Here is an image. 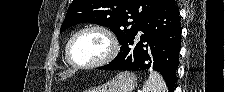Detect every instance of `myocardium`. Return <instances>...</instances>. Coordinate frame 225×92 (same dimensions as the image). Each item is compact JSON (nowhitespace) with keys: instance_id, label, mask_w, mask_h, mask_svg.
Returning a JSON list of instances; mask_svg holds the SVG:
<instances>
[{"instance_id":"obj_1","label":"myocardium","mask_w":225,"mask_h":92,"mask_svg":"<svg viewBox=\"0 0 225 92\" xmlns=\"http://www.w3.org/2000/svg\"><path fill=\"white\" fill-rule=\"evenodd\" d=\"M88 31H96V32L103 34L108 41L109 51L104 58H102L96 62L89 63V64H79V63L75 62L71 57V46H72L74 40L79 35H81L85 32H88ZM118 50H119V46H118L117 39H116L114 33L109 28H107L105 26H101V25H89V26L81 28L80 30L75 32L70 37L69 41L67 42L65 52H66V59L71 66H73L77 69H89V68H97V67H100V66L110 63L117 56Z\"/></svg>"}]
</instances>
